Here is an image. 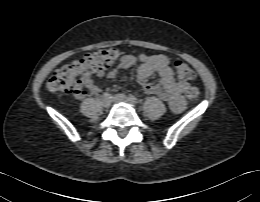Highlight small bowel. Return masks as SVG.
Returning a JSON list of instances; mask_svg holds the SVG:
<instances>
[{"label":"small bowel","instance_id":"small-bowel-1","mask_svg":"<svg viewBox=\"0 0 260 202\" xmlns=\"http://www.w3.org/2000/svg\"><path fill=\"white\" fill-rule=\"evenodd\" d=\"M138 63L137 80L144 91L148 94L156 95L161 100L167 102L173 111L181 112L184 108L181 95L188 91L190 85L185 81L176 80L169 60L164 55L141 54L136 56L133 54H125L120 58L118 67L109 71L107 77L114 79L118 76L120 70L131 68ZM99 74H103V72ZM153 74H158L160 81L156 84H147L146 80ZM84 85L92 94H98L102 90V87L92 77H87L84 81ZM85 94L86 92L83 88H79L74 92V97L82 99Z\"/></svg>","mask_w":260,"mask_h":202}]
</instances>
